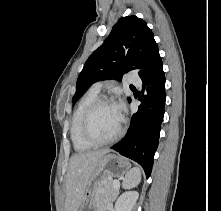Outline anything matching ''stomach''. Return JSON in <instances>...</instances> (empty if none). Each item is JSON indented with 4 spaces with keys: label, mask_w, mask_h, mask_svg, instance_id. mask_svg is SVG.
Wrapping results in <instances>:
<instances>
[{
    "label": "stomach",
    "mask_w": 221,
    "mask_h": 211,
    "mask_svg": "<svg viewBox=\"0 0 221 211\" xmlns=\"http://www.w3.org/2000/svg\"><path fill=\"white\" fill-rule=\"evenodd\" d=\"M130 163L115 154H105L97 162L94 172L88 179L82 202L78 211H96L94 204L95 189L105 180L124 175L130 170Z\"/></svg>",
    "instance_id": "1"
}]
</instances>
